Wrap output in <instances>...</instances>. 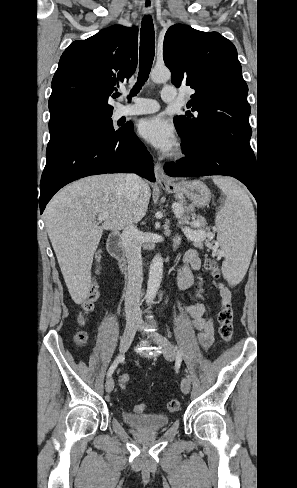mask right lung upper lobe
<instances>
[{
    "label": "right lung upper lobe",
    "mask_w": 297,
    "mask_h": 488,
    "mask_svg": "<svg viewBox=\"0 0 297 488\" xmlns=\"http://www.w3.org/2000/svg\"><path fill=\"white\" fill-rule=\"evenodd\" d=\"M138 29L112 26L74 41L62 54L52 79L49 131L111 117L108 98L135 72Z\"/></svg>",
    "instance_id": "1"
}]
</instances>
